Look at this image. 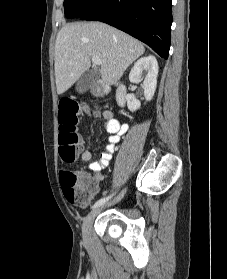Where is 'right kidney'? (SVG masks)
I'll list each match as a JSON object with an SVG mask.
<instances>
[{"mask_svg": "<svg viewBox=\"0 0 227 279\" xmlns=\"http://www.w3.org/2000/svg\"><path fill=\"white\" fill-rule=\"evenodd\" d=\"M146 71L147 74L142 84L144 89V96L146 101H150L155 93L157 85V75H158V63L153 55L147 57H142L132 67L129 80L133 83H138L141 81V74ZM127 106L131 112L136 111L140 108L141 103L135 98L134 94H127L126 96Z\"/></svg>", "mask_w": 227, "mask_h": 279, "instance_id": "obj_1", "label": "right kidney"}]
</instances>
